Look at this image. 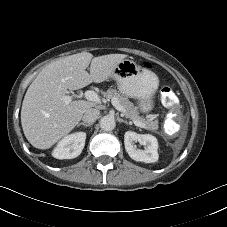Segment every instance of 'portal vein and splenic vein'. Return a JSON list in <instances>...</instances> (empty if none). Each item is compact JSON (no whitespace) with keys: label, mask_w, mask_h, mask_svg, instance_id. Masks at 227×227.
Returning <instances> with one entry per match:
<instances>
[{"label":"portal vein and splenic vein","mask_w":227,"mask_h":227,"mask_svg":"<svg viewBox=\"0 0 227 227\" xmlns=\"http://www.w3.org/2000/svg\"><path fill=\"white\" fill-rule=\"evenodd\" d=\"M84 97L91 102L100 103V98H99L98 94L92 90L86 91L84 93ZM61 99L65 102V104H69L72 101V97L69 95L62 96ZM112 105L118 111H120L122 113L125 112L124 108L119 104V102L116 99H112ZM132 120L136 126L144 128V124L141 121L134 119V118Z\"/></svg>","instance_id":"1"}]
</instances>
